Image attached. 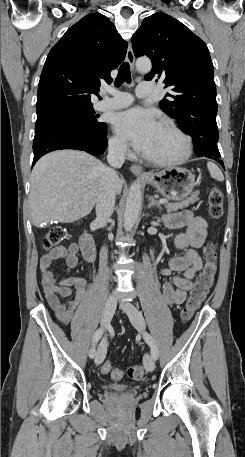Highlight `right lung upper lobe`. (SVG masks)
Instances as JSON below:
<instances>
[{
  "label": "right lung upper lobe",
  "instance_id": "obj_1",
  "mask_svg": "<svg viewBox=\"0 0 245 457\" xmlns=\"http://www.w3.org/2000/svg\"><path fill=\"white\" fill-rule=\"evenodd\" d=\"M128 43L101 13H91L69 28L49 52L38 85L36 111L69 100L90 101L100 81L124 60Z\"/></svg>",
  "mask_w": 245,
  "mask_h": 457
}]
</instances>
